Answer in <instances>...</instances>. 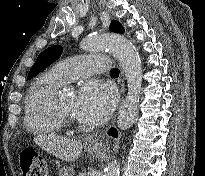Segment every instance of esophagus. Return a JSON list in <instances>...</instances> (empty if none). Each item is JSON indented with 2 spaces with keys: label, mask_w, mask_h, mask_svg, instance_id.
<instances>
[{
  "label": "esophagus",
  "mask_w": 205,
  "mask_h": 176,
  "mask_svg": "<svg viewBox=\"0 0 205 176\" xmlns=\"http://www.w3.org/2000/svg\"><path fill=\"white\" fill-rule=\"evenodd\" d=\"M121 92L123 93L124 92V78H123V75H122V79H121ZM115 119L112 120V124L114 123ZM107 135V132L105 131L103 134L95 137V138H92L89 140L88 142V146L90 147H101L102 145V141L104 140V138L106 137Z\"/></svg>",
  "instance_id": "34e87169"
}]
</instances>
